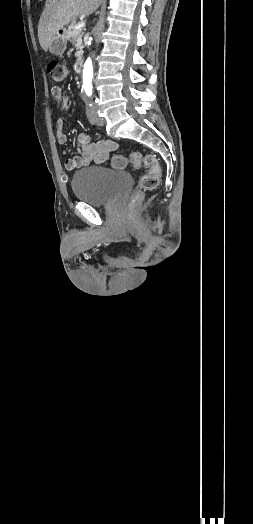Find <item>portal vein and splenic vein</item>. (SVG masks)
Here are the masks:
<instances>
[{
  "label": "portal vein and splenic vein",
  "mask_w": 253,
  "mask_h": 524,
  "mask_svg": "<svg viewBox=\"0 0 253 524\" xmlns=\"http://www.w3.org/2000/svg\"><path fill=\"white\" fill-rule=\"evenodd\" d=\"M84 26H85V23H84V22H80V23H78V24L75 26V29H76V30H81Z\"/></svg>",
  "instance_id": "obj_1"
}]
</instances>
